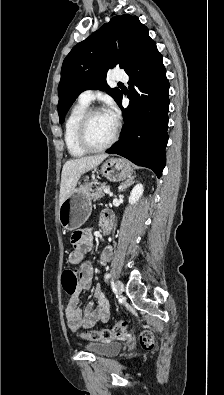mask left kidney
<instances>
[{
    "mask_svg": "<svg viewBox=\"0 0 224 395\" xmlns=\"http://www.w3.org/2000/svg\"><path fill=\"white\" fill-rule=\"evenodd\" d=\"M143 191H144L143 185L141 183L136 184L130 193L129 203L135 204L142 196Z\"/></svg>",
    "mask_w": 224,
    "mask_h": 395,
    "instance_id": "left-kidney-1",
    "label": "left kidney"
}]
</instances>
